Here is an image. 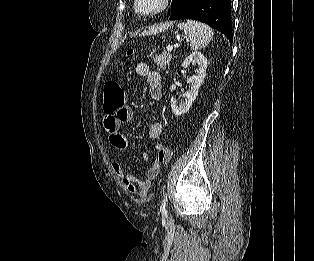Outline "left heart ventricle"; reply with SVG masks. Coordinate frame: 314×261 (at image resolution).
<instances>
[{"mask_svg": "<svg viewBox=\"0 0 314 261\" xmlns=\"http://www.w3.org/2000/svg\"><path fill=\"white\" fill-rule=\"evenodd\" d=\"M160 0H139V9L142 11H150L159 5Z\"/></svg>", "mask_w": 314, "mask_h": 261, "instance_id": "left-heart-ventricle-1", "label": "left heart ventricle"}]
</instances>
